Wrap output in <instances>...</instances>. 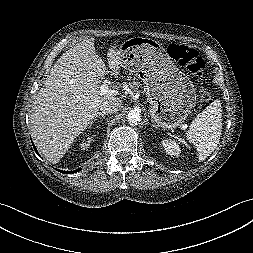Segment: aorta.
I'll list each match as a JSON object with an SVG mask.
<instances>
[{
    "instance_id": "aorta-1",
    "label": "aorta",
    "mask_w": 253,
    "mask_h": 253,
    "mask_svg": "<svg viewBox=\"0 0 253 253\" xmlns=\"http://www.w3.org/2000/svg\"><path fill=\"white\" fill-rule=\"evenodd\" d=\"M127 120L129 122V124L136 125V124H138L141 121V115L137 111H131L127 115Z\"/></svg>"
}]
</instances>
